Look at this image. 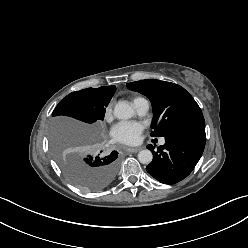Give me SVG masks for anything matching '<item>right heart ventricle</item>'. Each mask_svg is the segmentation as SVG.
Here are the masks:
<instances>
[{
	"instance_id": "right-heart-ventricle-1",
	"label": "right heart ventricle",
	"mask_w": 248,
	"mask_h": 248,
	"mask_svg": "<svg viewBox=\"0 0 248 248\" xmlns=\"http://www.w3.org/2000/svg\"><path fill=\"white\" fill-rule=\"evenodd\" d=\"M138 99H141V97H136V98H134L133 103H134L136 100H138Z\"/></svg>"
}]
</instances>
